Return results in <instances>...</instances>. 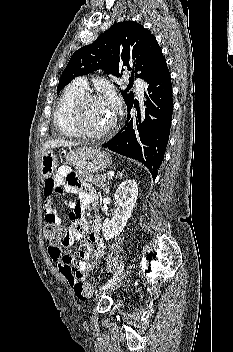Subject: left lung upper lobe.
<instances>
[{
    "label": "left lung upper lobe",
    "mask_w": 233,
    "mask_h": 352,
    "mask_svg": "<svg viewBox=\"0 0 233 352\" xmlns=\"http://www.w3.org/2000/svg\"><path fill=\"white\" fill-rule=\"evenodd\" d=\"M165 62V57L155 36L141 24L133 21L116 23L101 34L92 44L78 49L64 69L57 93L72 79L102 69L119 76V71L128 68L146 81L155 75ZM130 88L120 92L126 105L134 100Z\"/></svg>",
    "instance_id": "1"
}]
</instances>
